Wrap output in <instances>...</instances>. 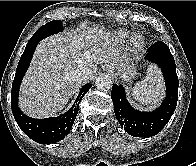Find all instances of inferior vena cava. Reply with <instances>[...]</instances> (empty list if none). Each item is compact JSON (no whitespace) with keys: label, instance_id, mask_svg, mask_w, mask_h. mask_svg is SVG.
Returning <instances> with one entry per match:
<instances>
[{"label":"inferior vena cava","instance_id":"1","mask_svg":"<svg viewBox=\"0 0 196 166\" xmlns=\"http://www.w3.org/2000/svg\"><path fill=\"white\" fill-rule=\"evenodd\" d=\"M88 74H89V71L84 69V68H78L76 71H75V77L77 80L79 81H84L87 79L88 77Z\"/></svg>","mask_w":196,"mask_h":166}]
</instances>
